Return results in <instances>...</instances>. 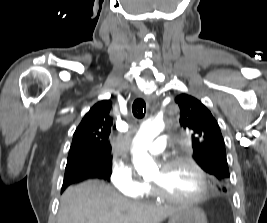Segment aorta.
Listing matches in <instances>:
<instances>
[{"mask_svg": "<svg viewBox=\"0 0 267 223\" xmlns=\"http://www.w3.org/2000/svg\"><path fill=\"white\" fill-rule=\"evenodd\" d=\"M164 128L160 120L146 121L143 123L134 138L133 164L138 174L148 176L157 172L158 167L147 153L152 141Z\"/></svg>", "mask_w": 267, "mask_h": 223, "instance_id": "1", "label": "aorta"}]
</instances>
